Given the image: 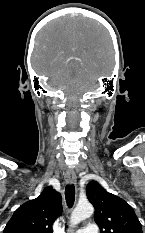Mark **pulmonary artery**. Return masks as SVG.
<instances>
[{
    "instance_id": "1",
    "label": "pulmonary artery",
    "mask_w": 145,
    "mask_h": 233,
    "mask_svg": "<svg viewBox=\"0 0 145 233\" xmlns=\"http://www.w3.org/2000/svg\"><path fill=\"white\" fill-rule=\"evenodd\" d=\"M76 233H99V231L94 223H90L86 228L78 229Z\"/></svg>"
}]
</instances>
